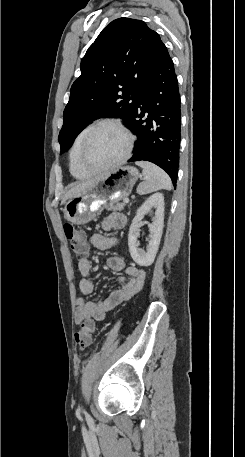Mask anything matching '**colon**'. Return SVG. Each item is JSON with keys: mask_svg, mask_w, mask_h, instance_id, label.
<instances>
[{"mask_svg": "<svg viewBox=\"0 0 245 457\" xmlns=\"http://www.w3.org/2000/svg\"><path fill=\"white\" fill-rule=\"evenodd\" d=\"M64 233L71 250L79 258H85L89 253V246L84 236L70 223H65ZM96 330L95 322L91 319L82 322L75 332V342L80 350L87 349Z\"/></svg>", "mask_w": 245, "mask_h": 457, "instance_id": "colon-1", "label": "colon"}]
</instances>
